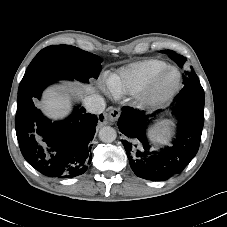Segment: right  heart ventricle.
Listing matches in <instances>:
<instances>
[{"mask_svg": "<svg viewBox=\"0 0 227 227\" xmlns=\"http://www.w3.org/2000/svg\"><path fill=\"white\" fill-rule=\"evenodd\" d=\"M168 64L158 59H144L119 69L108 78V87L115 95L136 94Z\"/></svg>", "mask_w": 227, "mask_h": 227, "instance_id": "e07e8e85", "label": "right heart ventricle"}]
</instances>
